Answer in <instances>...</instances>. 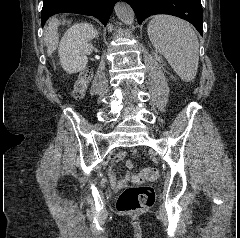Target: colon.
<instances>
[{"label": "colon", "mask_w": 240, "mask_h": 238, "mask_svg": "<svg viewBox=\"0 0 240 238\" xmlns=\"http://www.w3.org/2000/svg\"><path fill=\"white\" fill-rule=\"evenodd\" d=\"M91 78L92 70L90 68H85L79 73L73 89L76 98L84 95ZM158 175V170L154 167H148L140 173L130 172L131 178L137 182L155 180ZM154 199V190L149 186L126 188L119 195L116 207L122 213H137L151 207Z\"/></svg>", "instance_id": "1"}]
</instances>
